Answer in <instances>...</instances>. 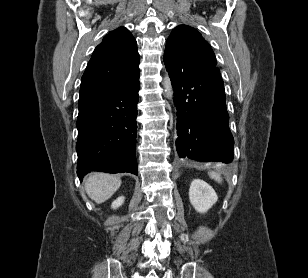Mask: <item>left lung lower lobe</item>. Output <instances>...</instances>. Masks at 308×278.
<instances>
[{
    "label": "left lung lower lobe",
    "mask_w": 308,
    "mask_h": 278,
    "mask_svg": "<svg viewBox=\"0 0 308 278\" xmlns=\"http://www.w3.org/2000/svg\"><path fill=\"white\" fill-rule=\"evenodd\" d=\"M177 109L176 149L180 158L229 163L234 139L220 70L181 76L169 72Z\"/></svg>",
    "instance_id": "obj_1"
}]
</instances>
